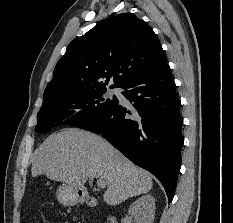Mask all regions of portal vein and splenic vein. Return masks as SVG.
Masks as SVG:
<instances>
[{
    "label": "portal vein and splenic vein",
    "instance_id": "18ae733b",
    "mask_svg": "<svg viewBox=\"0 0 233 223\" xmlns=\"http://www.w3.org/2000/svg\"><path fill=\"white\" fill-rule=\"evenodd\" d=\"M96 183L98 187H106V181L105 179H101V177H99V179H96Z\"/></svg>",
    "mask_w": 233,
    "mask_h": 223
}]
</instances>
